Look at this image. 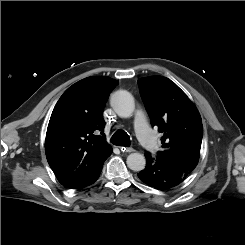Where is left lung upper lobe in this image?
<instances>
[{
    "label": "left lung upper lobe",
    "mask_w": 245,
    "mask_h": 245,
    "mask_svg": "<svg viewBox=\"0 0 245 245\" xmlns=\"http://www.w3.org/2000/svg\"><path fill=\"white\" fill-rule=\"evenodd\" d=\"M138 83L151 124L163 134V149L158 151L156 159L191 174L199 161L203 137L202 120L197 108L166 77L141 78Z\"/></svg>",
    "instance_id": "left-lung-upper-lobe-1"
}]
</instances>
